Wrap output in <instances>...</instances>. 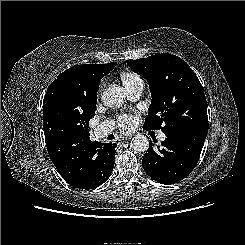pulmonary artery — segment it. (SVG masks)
<instances>
[{
  "label": "pulmonary artery",
  "instance_id": "e3ab8cb5",
  "mask_svg": "<svg viewBox=\"0 0 245 245\" xmlns=\"http://www.w3.org/2000/svg\"><path fill=\"white\" fill-rule=\"evenodd\" d=\"M143 89H144V83H143V81H139L138 83H136L133 87H131L127 91H128L129 97L132 100H137L142 95ZM112 129H113L112 124L109 122H105V123L98 125L95 128L94 132H95V135L97 138H103V137L107 136L112 131ZM158 138H159V140L162 141L166 138V136L164 133H160Z\"/></svg>",
  "mask_w": 245,
  "mask_h": 245
}]
</instances>
